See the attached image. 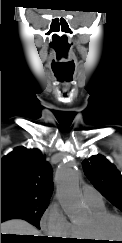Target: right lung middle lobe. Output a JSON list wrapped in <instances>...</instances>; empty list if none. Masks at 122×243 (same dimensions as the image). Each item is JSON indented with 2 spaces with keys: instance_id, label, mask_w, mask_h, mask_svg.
Wrapping results in <instances>:
<instances>
[{
  "instance_id": "right-lung-middle-lobe-1",
  "label": "right lung middle lobe",
  "mask_w": 122,
  "mask_h": 243,
  "mask_svg": "<svg viewBox=\"0 0 122 243\" xmlns=\"http://www.w3.org/2000/svg\"><path fill=\"white\" fill-rule=\"evenodd\" d=\"M49 200L21 195L1 196V214H15L28 217L34 226L40 228V219Z\"/></svg>"
}]
</instances>
